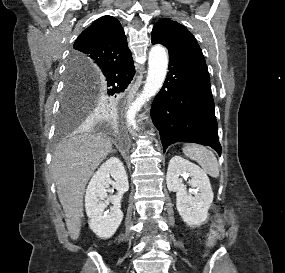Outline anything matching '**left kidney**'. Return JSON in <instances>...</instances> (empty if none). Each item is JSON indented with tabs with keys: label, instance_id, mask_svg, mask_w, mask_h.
Masks as SVG:
<instances>
[{
	"label": "left kidney",
	"instance_id": "5707ae66",
	"mask_svg": "<svg viewBox=\"0 0 285 273\" xmlns=\"http://www.w3.org/2000/svg\"><path fill=\"white\" fill-rule=\"evenodd\" d=\"M184 175L191 177L188 184L194 188L192 191L188 192L179 178ZM166 181L168 190L176 192V207L183 221L191 227L204 223L213 201V191L206 173L196 164L174 156L168 165Z\"/></svg>",
	"mask_w": 285,
	"mask_h": 273
}]
</instances>
